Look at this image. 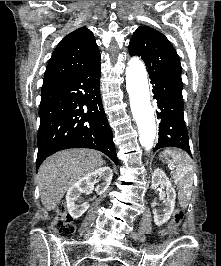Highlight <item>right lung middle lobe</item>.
I'll return each instance as SVG.
<instances>
[{"label":"right lung middle lobe","instance_id":"dd1d6c3e","mask_svg":"<svg viewBox=\"0 0 221 266\" xmlns=\"http://www.w3.org/2000/svg\"><path fill=\"white\" fill-rule=\"evenodd\" d=\"M46 89L45 87H42V90Z\"/></svg>","mask_w":221,"mask_h":266}]
</instances>
